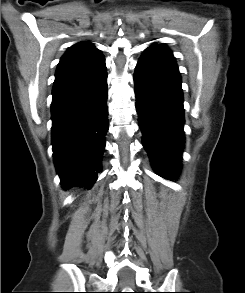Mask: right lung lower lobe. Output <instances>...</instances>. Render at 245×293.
I'll use <instances>...</instances> for the list:
<instances>
[{"label": "right lung lower lobe", "mask_w": 245, "mask_h": 293, "mask_svg": "<svg viewBox=\"0 0 245 293\" xmlns=\"http://www.w3.org/2000/svg\"><path fill=\"white\" fill-rule=\"evenodd\" d=\"M107 98L106 67L53 94L52 149L65 189L90 187L98 178L109 128Z\"/></svg>", "instance_id": "right-lung-lower-lobe-1"}]
</instances>
